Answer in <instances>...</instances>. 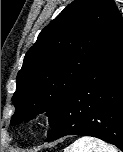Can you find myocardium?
I'll return each mask as SVG.
<instances>
[{
	"mask_svg": "<svg viewBox=\"0 0 123 152\" xmlns=\"http://www.w3.org/2000/svg\"><path fill=\"white\" fill-rule=\"evenodd\" d=\"M40 124V121H39V119H34L33 121H32V125L33 126H38Z\"/></svg>",
	"mask_w": 123,
	"mask_h": 152,
	"instance_id": "myocardium-1",
	"label": "myocardium"
}]
</instances>
